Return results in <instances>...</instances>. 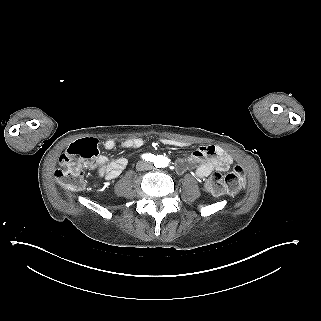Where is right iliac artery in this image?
<instances>
[{
    "label": "right iliac artery",
    "instance_id": "right-iliac-artery-1",
    "mask_svg": "<svg viewBox=\"0 0 321 321\" xmlns=\"http://www.w3.org/2000/svg\"><path fill=\"white\" fill-rule=\"evenodd\" d=\"M142 158L150 162H154L156 160V157L151 153L144 154Z\"/></svg>",
    "mask_w": 321,
    "mask_h": 321
}]
</instances>
